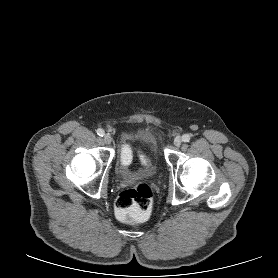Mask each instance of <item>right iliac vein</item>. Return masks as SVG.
Segmentation results:
<instances>
[{
    "label": "right iliac vein",
    "instance_id": "right-iliac-vein-1",
    "mask_svg": "<svg viewBox=\"0 0 278 278\" xmlns=\"http://www.w3.org/2000/svg\"><path fill=\"white\" fill-rule=\"evenodd\" d=\"M103 139L106 144H111L112 142V138L109 134H105Z\"/></svg>",
    "mask_w": 278,
    "mask_h": 278
}]
</instances>
